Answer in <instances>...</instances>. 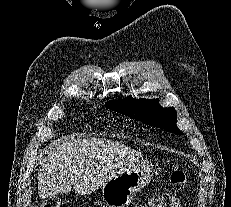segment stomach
I'll use <instances>...</instances> for the list:
<instances>
[{
    "label": "stomach",
    "mask_w": 231,
    "mask_h": 207,
    "mask_svg": "<svg viewBox=\"0 0 231 207\" xmlns=\"http://www.w3.org/2000/svg\"><path fill=\"white\" fill-rule=\"evenodd\" d=\"M153 166L149 162L119 171L102 186V199L107 207H127L137 192L151 180Z\"/></svg>",
    "instance_id": "0dacf381"
}]
</instances>
